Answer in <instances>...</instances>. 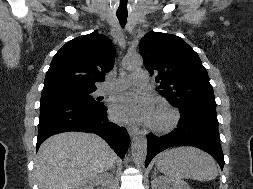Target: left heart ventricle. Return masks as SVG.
<instances>
[{"label": "left heart ventricle", "instance_id": "1", "mask_svg": "<svg viewBox=\"0 0 253 189\" xmlns=\"http://www.w3.org/2000/svg\"><path fill=\"white\" fill-rule=\"evenodd\" d=\"M164 118L165 114L163 112L154 111L151 120L155 122H161L164 120Z\"/></svg>", "mask_w": 253, "mask_h": 189}]
</instances>
